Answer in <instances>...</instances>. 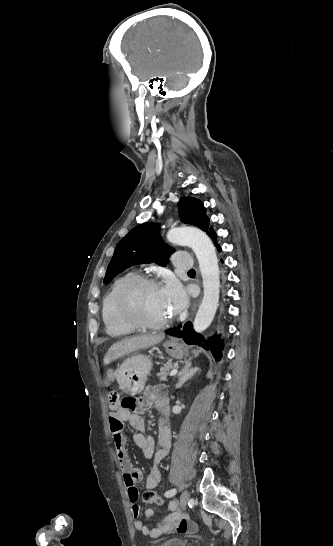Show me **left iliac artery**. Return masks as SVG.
Segmentation results:
<instances>
[{
    "instance_id": "44dca946",
    "label": "left iliac artery",
    "mask_w": 333,
    "mask_h": 546,
    "mask_svg": "<svg viewBox=\"0 0 333 546\" xmlns=\"http://www.w3.org/2000/svg\"><path fill=\"white\" fill-rule=\"evenodd\" d=\"M176 492H177L176 489L169 490V491L165 492V496L166 497H172V496H174L176 494Z\"/></svg>"
}]
</instances>
